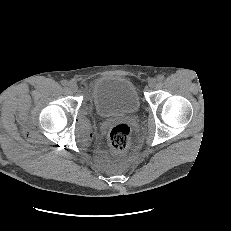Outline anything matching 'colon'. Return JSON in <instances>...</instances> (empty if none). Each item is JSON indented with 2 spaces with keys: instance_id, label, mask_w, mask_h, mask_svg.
Instances as JSON below:
<instances>
[{
  "instance_id": "obj_1",
  "label": "colon",
  "mask_w": 231,
  "mask_h": 231,
  "mask_svg": "<svg viewBox=\"0 0 231 231\" xmlns=\"http://www.w3.org/2000/svg\"><path fill=\"white\" fill-rule=\"evenodd\" d=\"M131 130L125 123L112 126L108 132V142L114 151H124L130 144Z\"/></svg>"
}]
</instances>
